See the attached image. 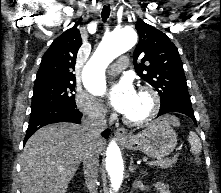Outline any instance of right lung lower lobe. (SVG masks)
I'll list each match as a JSON object with an SVG mask.
<instances>
[{"mask_svg":"<svg viewBox=\"0 0 221 193\" xmlns=\"http://www.w3.org/2000/svg\"><path fill=\"white\" fill-rule=\"evenodd\" d=\"M82 113L76 107L67 105H49L39 109L31 110L29 126L24 139V144L29 137L34 134L39 128L57 122H73L79 123ZM110 130L107 129L101 133L104 138H107Z\"/></svg>","mask_w":221,"mask_h":193,"instance_id":"98d812e1","label":"right lung lower lobe"}]
</instances>
